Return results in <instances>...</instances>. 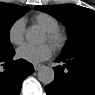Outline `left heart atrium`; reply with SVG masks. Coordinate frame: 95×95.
I'll use <instances>...</instances> for the list:
<instances>
[{
  "mask_svg": "<svg viewBox=\"0 0 95 95\" xmlns=\"http://www.w3.org/2000/svg\"><path fill=\"white\" fill-rule=\"evenodd\" d=\"M52 55V47L49 44L34 46L25 44L17 49V56L20 59L31 63H39L47 60Z\"/></svg>",
  "mask_w": 95,
  "mask_h": 95,
  "instance_id": "39dd6f15",
  "label": "left heart atrium"
}]
</instances>
